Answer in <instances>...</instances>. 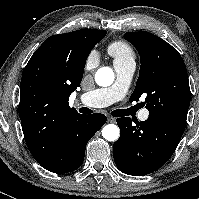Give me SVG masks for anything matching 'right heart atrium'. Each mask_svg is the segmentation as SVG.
I'll list each match as a JSON object with an SVG mask.
<instances>
[{
  "instance_id": "d8ad5b80",
  "label": "right heart atrium",
  "mask_w": 199,
  "mask_h": 199,
  "mask_svg": "<svg viewBox=\"0 0 199 199\" xmlns=\"http://www.w3.org/2000/svg\"><path fill=\"white\" fill-rule=\"evenodd\" d=\"M97 58H98V56H97L96 52L92 51L86 59V68L87 69L91 68L97 61Z\"/></svg>"
}]
</instances>
